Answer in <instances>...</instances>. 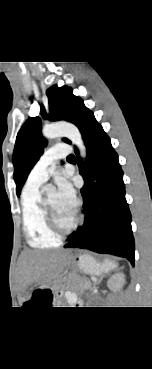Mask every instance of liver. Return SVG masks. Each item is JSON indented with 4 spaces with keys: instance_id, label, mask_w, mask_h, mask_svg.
I'll return each mask as SVG.
<instances>
[{
    "instance_id": "obj_1",
    "label": "liver",
    "mask_w": 152,
    "mask_h": 369,
    "mask_svg": "<svg viewBox=\"0 0 152 369\" xmlns=\"http://www.w3.org/2000/svg\"><path fill=\"white\" fill-rule=\"evenodd\" d=\"M66 252L25 250L19 258L24 286L56 276L66 262Z\"/></svg>"
}]
</instances>
